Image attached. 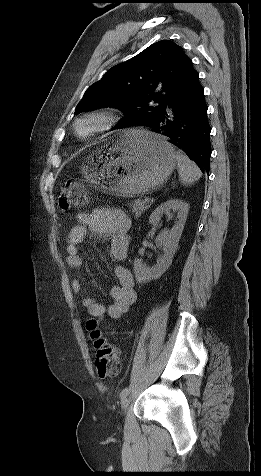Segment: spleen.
Segmentation results:
<instances>
[{
    "mask_svg": "<svg viewBox=\"0 0 261 476\" xmlns=\"http://www.w3.org/2000/svg\"><path fill=\"white\" fill-rule=\"evenodd\" d=\"M175 158L177 161V169L181 183L188 185L199 180V178L202 176V173L193 161H191L181 151L175 152Z\"/></svg>",
    "mask_w": 261,
    "mask_h": 476,
    "instance_id": "spleen-1",
    "label": "spleen"
}]
</instances>
